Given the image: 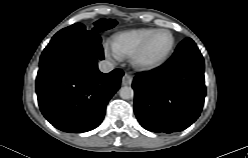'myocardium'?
Returning <instances> with one entry per match:
<instances>
[{
  "label": "myocardium",
  "mask_w": 248,
  "mask_h": 158,
  "mask_svg": "<svg viewBox=\"0 0 248 158\" xmlns=\"http://www.w3.org/2000/svg\"><path fill=\"white\" fill-rule=\"evenodd\" d=\"M158 33L169 34L171 38L169 48L159 58L155 60L147 61L144 59V56L148 49L149 43L151 42L152 38ZM174 45H175V38L171 31L167 29H156L144 40V42L141 44L138 50L131 56L132 64L137 69L143 70V71L155 69L159 67L160 65H162L168 59V57L170 56V54L172 53L174 49Z\"/></svg>",
  "instance_id": "f54148a6"
}]
</instances>
